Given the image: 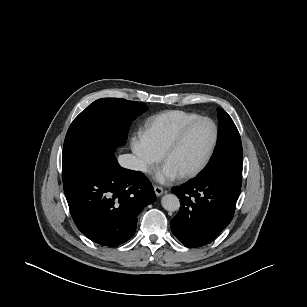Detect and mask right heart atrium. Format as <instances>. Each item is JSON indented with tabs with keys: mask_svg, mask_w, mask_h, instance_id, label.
<instances>
[{
	"mask_svg": "<svg viewBox=\"0 0 307 307\" xmlns=\"http://www.w3.org/2000/svg\"><path fill=\"white\" fill-rule=\"evenodd\" d=\"M131 149L136 159V168L141 173H149L162 160V154L151 146L143 134L135 135L132 138Z\"/></svg>",
	"mask_w": 307,
	"mask_h": 307,
	"instance_id": "right-heart-atrium-1",
	"label": "right heart atrium"
}]
</instances>
